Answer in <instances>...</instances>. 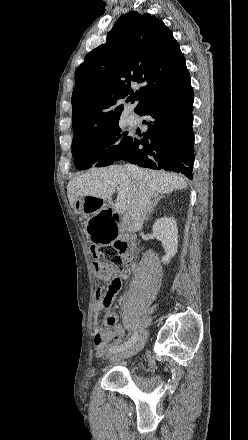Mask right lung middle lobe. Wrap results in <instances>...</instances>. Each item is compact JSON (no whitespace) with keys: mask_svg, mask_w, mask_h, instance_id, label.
I'll use <instances>...</instances> for the list:
<instances>
[{"mask_svg":"<svg viewBox=\"0 0 248 440\" xmlns=\"http://www.w3.org/2000/svg\"><path fill=\"white\" fill-rule=\"evenodd\" d=\"M131 137L119 127V123L109 127L75 135L72 153L75 166L79 170L90 167H104L118 161L125 154Z\"/></svg>","mask_w":248,"mask_h":440,"instance_id":"obj_1","label":"right lung middle lobe"}]
</instances>
